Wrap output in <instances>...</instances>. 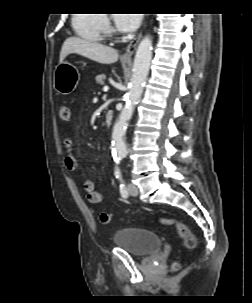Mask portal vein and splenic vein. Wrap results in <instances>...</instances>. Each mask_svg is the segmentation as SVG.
<instances>
[{"label": "portal vein and splenic vein", "mask_w": 252, "mask_h": 303, "mask_svg": "<svg viewBox=\"0 0 252 303\" xmlns=\"http://www.w3.org/2000/svg\"><path fill=\"white\" fill-rule=\"evenodd\" d=\"M108 90H109V87H108V86H104V87H103V91H104V92H107Z\"/></svg>", "instance_id": "1"}]
</instances>
